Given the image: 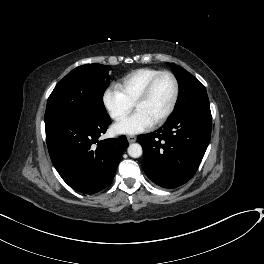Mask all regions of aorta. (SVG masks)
Returning a JSON list of instances; mask_svg holds the SVG:
<instances>
[{"label":"aorta","instance_id":"aorta-1","mask_svg":"<svg viewBox=\"0 0 264 264\" xmlns=\"http://www.w3.org/2000/svg\"><path fill=\"white\" fill-rule=\"evenodd\" d=\"M128 154L133 158H138L142 155V147L138 143H133L128 147Z\"/></svg>","mask_w":264,"mask_h":264}]
</instances>
